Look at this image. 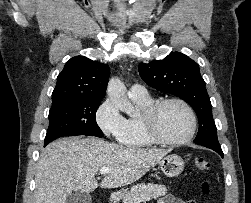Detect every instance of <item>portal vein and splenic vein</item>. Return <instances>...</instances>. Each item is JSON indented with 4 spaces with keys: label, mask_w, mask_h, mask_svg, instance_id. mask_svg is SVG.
<instances>
[{
    "label": "portal vein and splenic vein",
    "mask_w": 251,
    "mask_h": 203,
    "mask_svg": "<svg viewBox=\"0 0 251 203\" xmlns=\"http://www.w3.org/2000/svg\"><path fill=\"white\" fill-rule=\"evenodd\" d=\"M113 169L112 168H101L100 170H99V172H100V174H108V173H110L111 171H112Z\"/></svg>",
    "instance_id": "18ae733b"
}]
</instances>
